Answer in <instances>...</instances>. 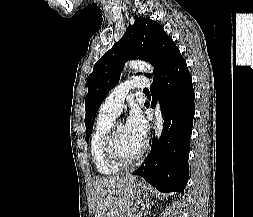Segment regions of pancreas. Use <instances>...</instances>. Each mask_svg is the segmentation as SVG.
Segmentation results:
<instances>
[{"instance_id":"obj_1","label":"pancreas","mask_w":253,"mask_h":217,"mask_svg":"<svg viewBox=\"0 0 253 217\" xmlns=\"http://www.w3.org/2000/svg\"><path fill=\"white\" fill-rule=\"evenodd\" d=\"M130 213L131 212L126 213L124 217H129Z\"/></svg>"}]
</instances>
